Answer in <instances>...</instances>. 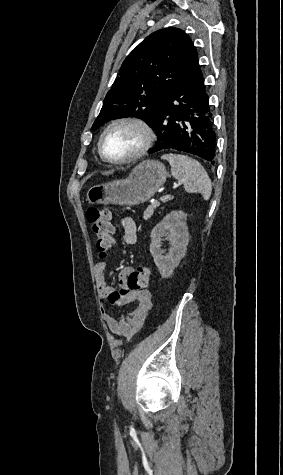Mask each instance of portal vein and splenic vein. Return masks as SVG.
I'll return each mask as SVG.
<instances>
[{"instance_id": "1", "label": "portal vein and splenic vein", "mask_w": 283, "mask_h": 475, "mask_svg": "<svg viewBox=\"0 0 283 475\" xmlns=\"http://www.w3.org/2000/svg\"><path fill=\"white\" fill-rule=\"evenodd\" d=\"M171 193L174 194L175 192L172 191ZM167 196H168L167 194L160 195V196H159V199H160V200H163L164 197H167Z\"/></svg>"}]
</instances>
